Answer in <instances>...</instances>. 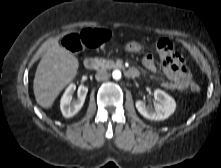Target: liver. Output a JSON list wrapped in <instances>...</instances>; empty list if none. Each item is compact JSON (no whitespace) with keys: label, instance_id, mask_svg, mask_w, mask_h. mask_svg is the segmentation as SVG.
<instances>
[{"label":"liver","instance_id":"1","mask_svg":"<svg viewBox=\"0 0 221 168\" xmlns=\"http://www.w3.org/2000/svg\"><path fill=\"white\" fill-rule=\"evenodd\" d=\"M78 67V59L55 41L36 69L33 90L37 103L51 108L63 88L76 77Z\"/></svg>","mask_w":221,"mask_h":168}]
</instances>
